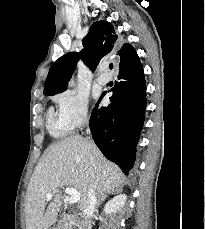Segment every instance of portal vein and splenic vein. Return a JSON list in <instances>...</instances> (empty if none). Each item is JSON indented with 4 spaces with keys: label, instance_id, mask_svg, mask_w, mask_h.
<instances>
[{
    "label": "portal vein and splenic vein",
    "instance_id": "1",
    "mask_svg": "<svg viewBox=\"0 0 205 229\" xmlns=\"http://www.w3.org/2000/svg\"><path fill=\"white\" fill-rule=\"evenodd\" d=\"M63 189H64V192L69 196L68 197V202L70 204L77 203L80 200V193L76 189L71 188V187H66V188H63ZM46 197H47L48 200H50L53 197V194L52 193H48L46 195Z\"/></svg>",
    "mask_w": 205,
    "mask_h": 229
}]
</instances>
